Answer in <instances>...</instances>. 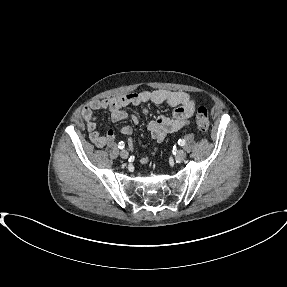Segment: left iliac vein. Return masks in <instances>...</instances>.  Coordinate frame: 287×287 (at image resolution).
<instances>
[{"instance_id": "obj_1", "label": "left iliac vein", "mask_w": 287, "mask_h": 287, "mask_svg": "<svg viewBox=\"0 0 287 287\" xmlns=\"http://www.w3.org/2000/svg\"><path fill=\"white\" fill-rule=\"evenodd\" d=\"M185 156H186V153L184 150H178L175 154V159L177 161H182L184 160Z\"/></svg>"}]
</instances>
